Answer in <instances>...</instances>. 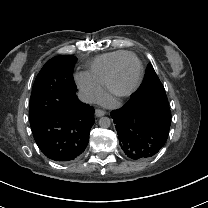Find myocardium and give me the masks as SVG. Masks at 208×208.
<instances>
[{
  "instance_id": "obj_1",
  "label": "myocardium",
  "mask_w": 208,
  "mask_h": 208,
  "mask_svg": "<svg viewBox=\"0 0 208 208\" xmlns=\"http://www.w3.org/2000/svg\"><path fill=\"white\" fill-rule=\"evenodd\" d=\"M131 59H135L138 63H139V74L138 77L136 79V81L134 82V84L132 86H130L127 89H120L117 86V79H118V74L121 70V68ZM143 75H144V65L142 60L135 54H131L127 57H125L124 59H122L121 61H119L114 69L112 70V73L110 75L108 84H107V89L108 91L117 97H126V96H130L132 95L141 85L142 80H143Z\"/></svg>"
}]
</instances>
